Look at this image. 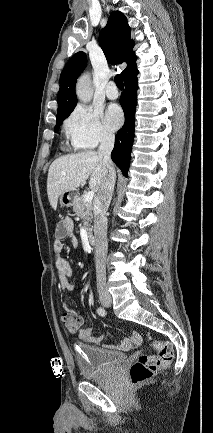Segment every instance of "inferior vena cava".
I'll return each mask as SVG.
<instances>
[{
	"label": "inferior vena cava",
	"mask_w": 213,
	"mask_h": 433,
	"mask_svg": "<svg viewBox=\"0 0 213 433\" xmlns=\"http://www.w3.org/2000/svg\"><path fill=\"white\" fill-rule=\"evenodd\" d=\"M113 147L114 135L104 132L98 148V155L103 159L104 176L98 197L94 202L95 265L99 293L107 292L105 267L108 250L106 212L112 199L116 179L115 169L110 157Z\"/></svg>",
	"instance_id": "602c4592"
}]
</instances>
